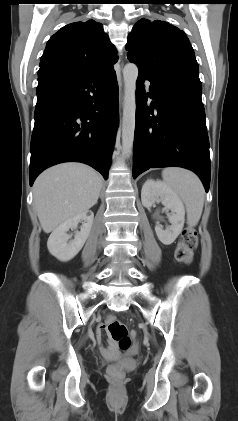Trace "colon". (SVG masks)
I'll use <instances>...</instances> for the list:
<instances>
[{
    "instance_id": "1",
    "label": "colon",
    "mask_w": 238,
    "mask_h": 421,
    "mask_svg": "<svg viewBox=\"0 0 238 421\" xmlns=\"http://www.w3.org/2000/svg\"><path fill=\"white\" fill-rule=\"evenodd\" d=\"M197 233L192 228L183 230L178 245L175 249V259L178 262L189 264L193 259L194 250L197 247ZM111 338L118 344L122 351H128L131 348V339L125 324L115 317H109L104 324ZM108 374L114 381H120L124 377L123 370L118 365H111L108 368Z\"/></svg>"
}]
</instances>
